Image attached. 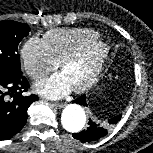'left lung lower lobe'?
Returning a JSON list of instances; mask_svg holds the SVG:
<instances>
[{"mask_svg":"<svg viewBox=\"0 0 153 153\" xmlns=\"http://www.w3.org/2000/svg\"><path fill=\"white\" fill-rule=\"evenodd\" d=\"M74 102L83 106H87L85 95H82L81 97L75 99ZM121 116L122 114H119L111 118L110 120H108V123L110 125L116 124L121 119ZM88 125L89 126L86 130H83L79 133H74L72 134V136L82 142H92L102 138L107 134V129L105 127L91 119H89Z\"/></svg>","mask_w":153,"mask_h":153,"instance_id":"obj_1","label":"left lung lower lobe"}]
</instances>
